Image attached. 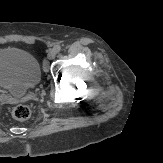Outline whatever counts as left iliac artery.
<instances>
[{
	"label": "left iliac artery",
	"mask_w": 163,
	"mask_h": 163,
	"mask_svg": "<svg viewBox=\"0 0 163 163\" xmlns=\"http://www.w3.org/2000/svg\"><path fill=\"white\" fill-rule=\"evenodd\" d=\"M54 50L56 51V53L60 52L61 46H60V45H56V46L54 47Z\"/></svg>",
	"instance_id": "44dca946"
}]
</instances>
